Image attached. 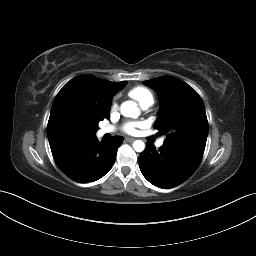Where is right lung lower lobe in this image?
I'll return each instance as SVG.
<instances>
[{
    "mask_svg": "<svg viewBox=\"0 0 256 256\" xmlns=\"http://www.w3.org/2000/svg\"><path fill=\"white\" fill-rule=\"evenodd\" d=\"M122 136L99 142L96 134L69 136L50 143L54 160L60 170L79 183L93 182L103 177L116 159Z\"/></svg>",
    "mask_w": 256,
    "mask_h": 256,
    "instance_id": "1",
    "label": "right lung lower lobe"
}]
</instances>
